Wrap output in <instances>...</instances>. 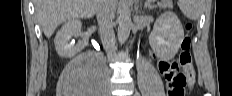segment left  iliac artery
<instances>
[{
  "mask_svg": "<svg viewBox=\"0 0 232 96\" xmlns=\"http://www.w3.org/2000/svg\"><path fill=\"white\" fill-rule=\"evenodd\" d=\"M136 96H139V93H138V92H136Z\"/></svg>",
  "mask_w": 232,
  "mask_h": 96,
  "instance_id": "44dca946",
  "label": "left iliac artery"
}]
</instances>
